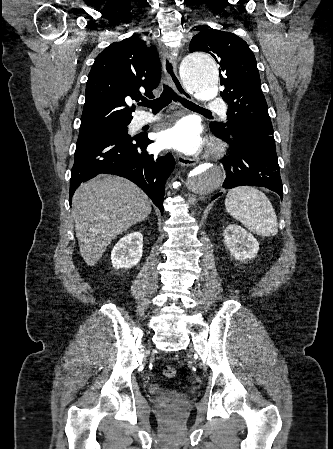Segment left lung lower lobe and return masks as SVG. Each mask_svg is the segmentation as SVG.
Instances as JSON below:
<instances>
[{"label":"left lung lower lobe","mask_w":333,"mask_h":449,"mask_svg":"<svg viewBox=\"0 0 333 449\" xmlns=\"http://www.w3.org/2000/svg\"><path fill=\"white\" fill-rule=\"evenodd\" d=\"M213 133L230 145L229 156L222 161L227 175L223 184L225 188L263 186L283 197L276 148L253 136L228 137L223 133ZM221 194H215L212 200Z\"/></svg>","instance_id":"0a47b994"}]
</instances>
